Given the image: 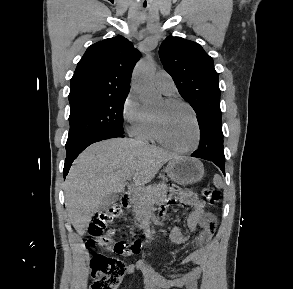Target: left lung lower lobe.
I'll return each mask as SVG.
<instances>
[{"label":"left lung lower lobe","instance_id":"obj_1","mask_svg":"<svg viewBox=\"0 0 293 289\" xmlns=\"http://www.w3.org/2000/svg\"><path fill=\"white\" fill-rule=\"evenodd\" d=\"M221 125L222 123L216 121L199 124L200 144L198 149L193 152L191 156L212 161L225 174V156Z\"/></svg>","mask_w":293,"mask_h":289}]
</instances>
